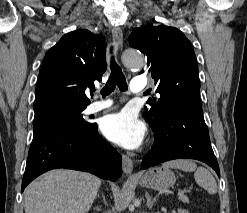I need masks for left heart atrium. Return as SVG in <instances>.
<instances>
[{
  "label": "left heart atrium",
  "instance_id": "left-heart-atrium-1",
  "mask_svg": "<svg viewBox=\"0 0 247 213\" xmlns=\"http://www.w3.org/2000/svg\"><path fill=\"white\" fill-rule=\"evenodd\" d=\"M100 129L107 139L126 149L138 148L146 133L144 123L130 110L106 115Z\"/></svg>",
  "mask_w": 247,
  "mask_h": 213
}]
</instances>
